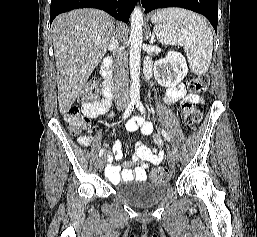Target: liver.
Listing matches in <instances>:
<instances>
[{"label":"liver","instance_id":"liver-1","mask_svg":"<svg viewBox=\"0 0 257 237\" xmlns=\"http://www.w3.org/2000/svg\"><path fill=\"white\" fill-rule=\"evenodd\" d=\"M113 18L97 9L59 15L52 23L58 103L68 112L104 57L113 36Z\"/></svg>","mask_w":257,"mask_h":237}]
</instances>
